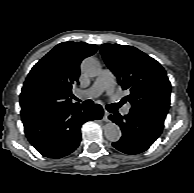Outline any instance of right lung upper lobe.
<instances>
[{
    "label": "right lung upper lobe",
    "mask_w": 194,
    "mask_h": 193,
    "mask_svg": "<svg viewBox=\"0 0 194 193\" xmlns=\"http://www.w3.org/2000/svg\"><path fill=\"white\" fill-rule=\"evenodd\" d=\"M97 49L84 42H63L36 63L20 94L22 121L79 104L71 102L72 85L78 81L81 61Z\"/></svg>",
    "instance_id": "obj_1"
}]
</instances>
